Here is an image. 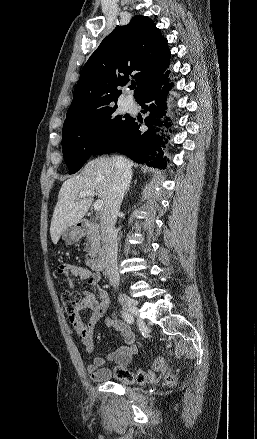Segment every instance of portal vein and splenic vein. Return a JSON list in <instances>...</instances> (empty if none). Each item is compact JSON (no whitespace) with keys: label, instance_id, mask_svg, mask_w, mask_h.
<instances>
[{"label":"portal vein and splenic vein","instance_id":"obj_1","mask_svg":"<svg viewBox=\"0 0 257 439\" xmlns=\"http://www.w3.org/2000/svg\"><path fill=\"white\" fill-rule=\"evenodd\" d=\"M96 193L94 190H88V191H84L79 193V198H84L86 196H94ZM103 206V200H97L94 203V210L95 211H100L102 209Z\"/></svg>","mask_w":257,"mask_h":439}]
</instances>
